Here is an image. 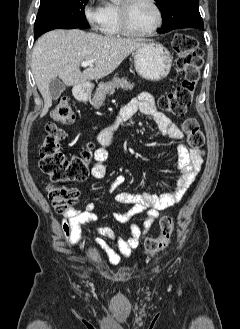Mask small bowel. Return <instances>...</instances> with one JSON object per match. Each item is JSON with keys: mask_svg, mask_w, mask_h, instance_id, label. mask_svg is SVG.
Instances as JSON below:
<instances>
[{"mask_svg": "<svg viewBox=\"0 0 240 329\" xmlns=\"http://www.w3.org/2000/svg\"><path fill=\"white\" fill-rule=\"evenodd\" d=\"M150 117L157 125L161 135L178 143V157L174 166L180 171L173 188L166 193L151 194L147 192L132 193L122 191L116 194L115 200L120 204L131 205L124 213L114 212L113 217L121 223L131 221L136 215L144 214V221L140 227L136 223L130 225V236L124 238L111 227H99L95 230L97 237L94 242L106 255L112 266H118L123 259H128L139 246L153 222L159 217L160 211L177 205L199 173L202 157L195 149H188L181 141L182 131L156 106L154 97L148 92L140 93L127 103L117 114L114 121L105 127L99 134L101 147L93 153L91 175L100 179L106 175V161L109 156V147L113 144V132L122 123L131 120L136 114ZM126 181L125 176H117L106 187V191H113ZM95 205L86 203L81 210H70L69 218L62 223V231L66 241L75 246L81 240L82 225L94 223L100 217L94 212ZM112 243L114 245H112Z\"/></svg>", "mask_w": 240, "mask_h": 329, "instance_id": "1", "label": "small bowel"}]
</instances>
